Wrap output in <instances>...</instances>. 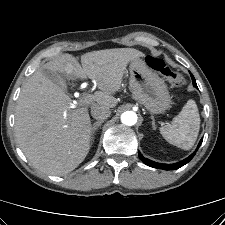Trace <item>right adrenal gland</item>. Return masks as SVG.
Here are the masks:
<instances>
[{
  "label": "right adrenal gland",
  "instance_id": "obj_1",
  "mask_svg": "<svg viewBox=\"0 0 225 225\" xmlns=\"http://www.w3.org/2000/svg\"><path fill=\"white\" fill-rule=\"evenodd\" d=\"M103 121H97L95 123H93L92 127H91V132H90V136H91V140H93V135L95 133V131L102 125Z\"/></svg>",
  "mask_w": 225,
  "mask_h": 225
}]
</instances>
